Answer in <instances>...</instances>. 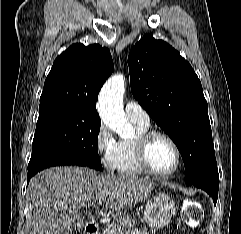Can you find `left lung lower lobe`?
I'll return each mask as SVG.
<instances>
[{
    "label": "left lung lower lobe",
    "mask_w": 241,
    "mask_h": 234,
    "mask_svg": "<svg viewBox=\"0 0 241 234\" xmlns=\"http://www.w3.org/2000/svg\"><path fill=\"white\" fill-rule=\"evenodd\" d=\"M198 188L205 190L213 199L214 204L217 202L219 185H211L209 183L196 182L192 184Z\"/></svg>",
    "instance_id": "obj_1"
}]
</instances>
